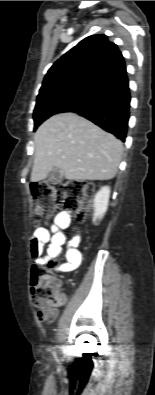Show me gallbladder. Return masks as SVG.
<instances>
[{"label":"gallbladder","mask_w":155,"mask_h":395,"mask_svg":"<svg viewBox=\"0 0 155 395\" xmlns=\"http://www.w3.org/2000/svg\"><path fill=\"white\" fill-rule=\"evenodd\" d=\"M62 180H63V173L59 169L53 168L48 175V181H50L53 184H57Z\"/></svg>","instance_id":"1"}]
</instances>
